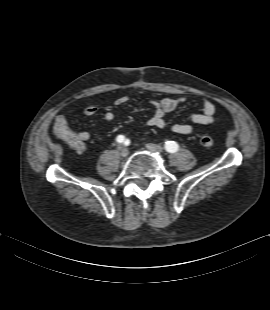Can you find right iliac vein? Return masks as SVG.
<instances>
[{"instance_id": "obj_1", "label": "right iliac vein", "mask_w": 270, "mask_h": 310, "mask_svg": "<svg viewBox=\"0 0 270 310\" xmlns=\"http://www.w3.org/2000/svg\"><path fill=\"white\" fill-rule=\"evenodd\" d=\"M119 152L122 157H126L129 153L128 149L125 146L120 147Z\"/></svg>"}]
</instances>
